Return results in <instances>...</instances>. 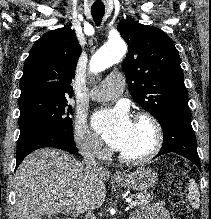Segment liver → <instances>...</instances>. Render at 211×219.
Instances as JSON below:
<instances>
[{
  "label": "liver",
  "mask_w": 211,
  "mask_h": 219,
  "mask_svg": "<svg viewBox=\"0 0 211 219\" xmlns=\"http://www.w3.org/2000/svg\"><path fill=\"white\" fill-rule=\"evenodd\" d=\"M106 170H91L67 152L41 149L29 154L15 173L13 219H41L57 213H82L101 207Z\"/></svg>",
  "instance_id": "6515ba94"
}]
</instances>
